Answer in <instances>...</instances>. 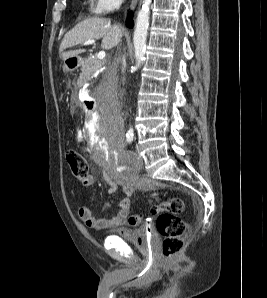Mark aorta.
<instances>
[{
	"mask_svg": "<svg viewBox=\"0 0 267 298\" xmlns=\"http://www.w3.org/2000/svg\"><path fill=\"white\" fill-rule=\"evenodd\" d=\"M151 2L152 0H142V6L136 19V27L133 36L136 68L141 66V63L145 57ZM129 133H133L132 128L129 129Z\"/></svg>",
	"mask_w": 267,
	"mask_h": 298,
	"instance_id": "obj_1",
	"label": "aorta"
}]
</instances>
